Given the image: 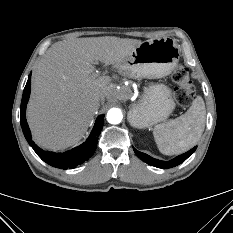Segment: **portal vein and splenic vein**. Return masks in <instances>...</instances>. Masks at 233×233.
<instances>
[{
    "label": "portal vein and splenic vein",
    "instance_id": "18ae733b",
    "mask_svg": "<svg viewBox=\"0 0 233 233\" xmlns=\"http://www.w3.org/2000/svg\"><path fill=\"white\" fill-rule=\"evenodd\" d=\"M93 76H94V77H97V74H96V73H93Z\"/></svg>",
    "mask_w": 233,
    "mask_h": 233
}]
</instances>
